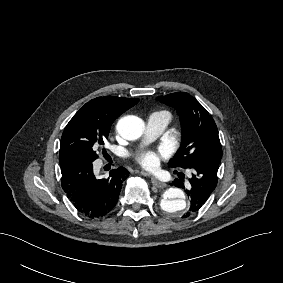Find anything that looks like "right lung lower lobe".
Wrapping results in <instances>:
<instances>
[{
	"mask_svg": "<svg viewBox=\"0 0 283 283\" xmlns=\"http://www.w3.org/2000/svg\"><path fill=\"white\" fill-rule=\"evenodd\" d=\"M61 185L69 200L84 217L98 219L115 207L123 181L129 176L124 167L111 170L110 178L98 179L93 161L81 158L60 163Z\"/></svg>",
	"mask_w": 283,
	"mask_h": 283,
	"instance_id": "1",
	"label": "right lung lower lobe"
}]
</instances>
